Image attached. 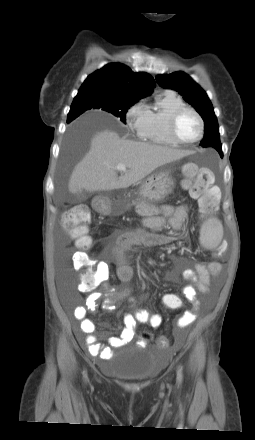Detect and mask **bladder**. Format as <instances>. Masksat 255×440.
<instances>
[{
	"mask_svg": "<svg viewBox=\"0 0 255 440\" xmlns=\"http://www.w3.org/2000/svg\"><path fill=\"white\" fill-rule=\"evenodd\" d=\"M156 370L155 356L144 347L137 346L116 361L112 375L126 382H143L153 378Z\"/></svg>",
	"mask_w": 255,
	"mask_h": 440,
	"instance_id": "bladder-1",
	"label": "bladder"
}]
</instances>
